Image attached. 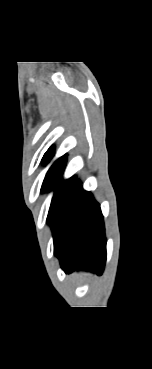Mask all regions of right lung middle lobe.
<instances>
[{"mask_svg": "<svg viewBox=\"0 0 152 369\" xmlns=\"http://www.w3.org/2000/svg\"><path fill=\"white\" fill-rule=\"evenodd\" d=\"M64 167L65 165L52 166L48 171L41 188L42 192L55 189V194L52 199L49 214L47 217V222L51 225V227H53L55 218L63 199L65 198L75 180V177H72L66 181H62V173Z\"/></svg>", "mask_w": 152, "mask_h": 369, "instance_id": "1", "label": "right lung middle lobe"}]
</instances>
